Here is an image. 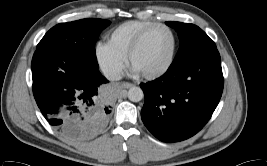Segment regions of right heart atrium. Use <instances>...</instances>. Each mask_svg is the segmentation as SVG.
Here are the masks:
<instances>
[{
    "mask_svg": "<svg viewBox=\"0 0 267 166\" xmlns=\"http://www.w3.org/2000/svg\"><path fill=\"white\" fill-rule=\"evenodd\" d=\"M95 57L103 72L109 77L117 76L124 67V57L107 42L97 43Z\"/></svg>",
    "mask_w": 267,
    "mask_h": 166,
    "instance_id": "1",
    "label": "right heart atrium"
}]
</instances>
